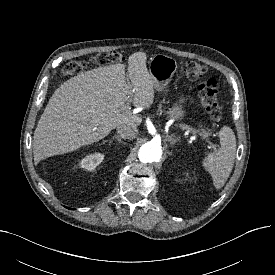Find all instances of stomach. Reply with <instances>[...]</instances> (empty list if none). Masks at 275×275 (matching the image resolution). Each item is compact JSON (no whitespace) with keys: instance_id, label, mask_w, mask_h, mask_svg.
I'll return each instance as SVG.
<instances>
[{"instance_id":"obj_1","label":"stomach","mask_w":275,"mask_h":275,"mask_svg":"<svg viewBox=\"0 0 275 275\" xmlns=\"http://www.w3.org/2000/svg\"><path fill=\"white\" fill-rule=\"evenodd\" d=\"M177 69V62L172 57L164 54L154 55L149 62V73L157 91H162L171 81ZM182 105L175 104L169 109V116L172 119L179 120L184 117Z\"/></svg>"}]
</instances>
